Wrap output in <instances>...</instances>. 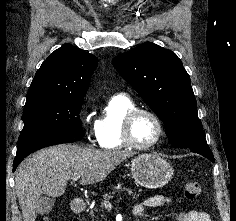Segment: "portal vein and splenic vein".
<instances>
[{
	"label": "portal vein and splenic vein",
	"instance_id": "obj_1",
	"mask_svg": "<svg viewBox=\"0 0 236 221\" xmlns=\"http://www.w3.org/2000/svg\"><path fill=\"white\" fill-rule=\"evenodd\" d=\"M78 179H79V177H75L72 180H73V182H76ZM104 206L105 207H111L112 206V202L110 200H105L104 201Z\"/></svg>",
	"mask_w": 236,
	"mask_h": 221
}]
</instances>
